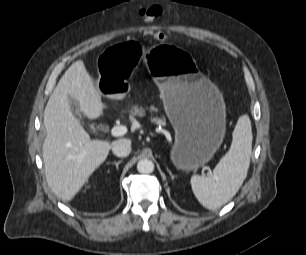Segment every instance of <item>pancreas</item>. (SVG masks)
<instances>
[{"instance_id":"cf45deb5","label":"pancreas","mask_w":306,"mask_h":255,"mask_svg":"<svg viewBox=\"0 0 306 255\" xmlns=\"http://www.w3.org/2000/svg\"><path fill=\"white\" fill-rule=\"evenodd\" d=\"M153 110L155 111L156 109L153 108ZM133 115H137V116H144L145 115V111L143 108H134L132 111ZM151 121L156 124V125H161V126H165L166 125V120L165 117L163 116L162 118H158V117H153L151 118Z\"/></svg>"}]
</instances>
